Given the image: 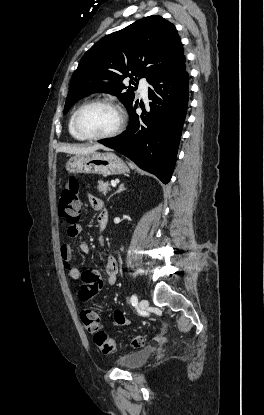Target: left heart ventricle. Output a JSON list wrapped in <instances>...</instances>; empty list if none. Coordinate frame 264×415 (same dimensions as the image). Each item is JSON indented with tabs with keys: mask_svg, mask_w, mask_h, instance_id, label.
<instances>
[{
	"mask_svg": "<svg viewBox=\"0 0 264 415\" xmlns=\"http://www.w3.org/2000/svg\"><path fill=\"white\" fill-rule=\"evenodd\" d=\"M118 123V113L105 105H95L84 109L79 116L80 128L89 135L111 132Z\"/></svg>",
	"mask_w": 264,
	"mask_h": 415,
	"instance_id": "b2bd125f",
	"label": "left heart ventricle"
}]
</instances>
